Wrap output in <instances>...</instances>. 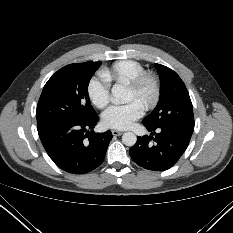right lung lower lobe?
Here are the masks:
<instances>
[{
	"label": "right lung lower lobe",
	"instance_id": "obj_1",
	"mask_svg": "<svg viewBox=\"0 0 233 233\" xmlns=\"http://www.w3.org/2000/svg\"><path fill=\"white\" fill-rule=\"evenodd\" d=\"M97 122V115L85 121L50 122L38 127V134L46 152L60 169L84 174L103 162L112 139L111 131L86 132Z\"/></svg>",
	"mask_w": 233,
	"mask_h": 233
}]
</instances>
